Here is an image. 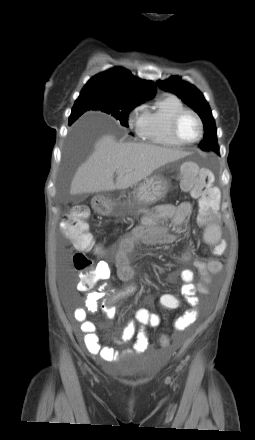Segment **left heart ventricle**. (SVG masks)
Masks as SVG:
<instances>
[{"mask_svg": "<svg viewBox=\"0 0 255 440\" xmlns=\"http://www.w3.org/2000/svg\"><path fill=\"white\" fill-rule=\"evenodd\" d=\"M178 131L180 136L186 141L196 139L199 133L196 119L190 114L185 115L179 123Z\"/></svg>", "mask_w": 255, "mask_h": 440, "instance_id": "1", "label": "left heart ventricle"}]
</instances>
